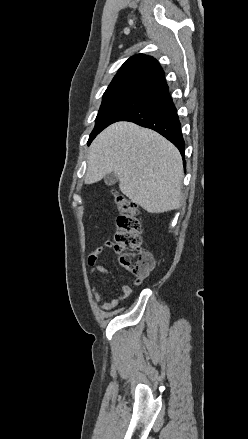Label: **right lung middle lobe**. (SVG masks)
Returning a JSON list of instances; mask_svg holds the SVG:
<instances>
[{
    "mask_svg": "<svg viewBox=\"0 0 248 439\" xmlns=\"http://www.w3.org/2000/svg\"><path fill=\"white\" fill-rule=\"evenodd\" d=\"M149 99V96L134 93H119L103 97L95 120V127L88 140V145L104 128L119 121Z\"/></svg>",
    "mask_w": 248,
    "mask_h": 439,
    "instance_id": "1",
    "label": "right lung middle lobe"
}]
</instances>
